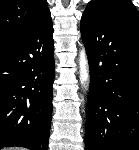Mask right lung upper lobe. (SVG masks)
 Masks as SVG:
<instances>
[{
	"label": "right lung upper lobe",
	"instance_id": "cb5924a9",
	"mask_svg": "<svg viewBox=\"0 0 139 150\" xmlns=\"http://www.w3.org/2000/svg\"><path fill=\"white\" fill-rule=\"evenodd\" d=\"M49 15L46 0H0V42L33 30Z\"/></svg>",
	"mask_w": 139,
	"mask_h": 150
}]
</instances>
